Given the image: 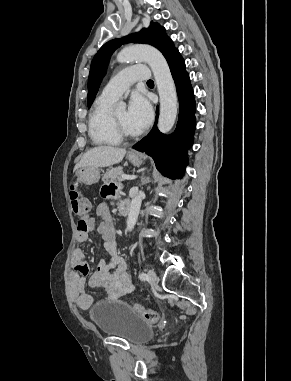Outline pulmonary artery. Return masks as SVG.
<instances>
[{
  "mask_svg": "<svg viewBox=\"0 0 291 381\" xmlns=\"http://www.w3.org/2000/svg\"><path fill=\"white\" fill-rule=\"evenodd\" d=\"M150 70L146 65H132L118 72L103 88L101 96L116 100L135 81L148 80Z\"/></svg>",
  "mask_w": 291,
  "mask_h": 381,
  "instance_id": "pulmonary-artery-1",
  "label": "pulmonary artery"
}]
</instances>
